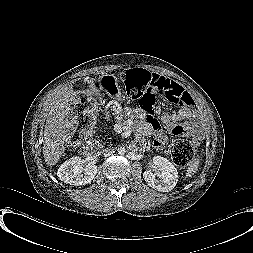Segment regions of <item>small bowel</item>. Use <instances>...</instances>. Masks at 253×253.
Returning a JSON list of instances; mask_svg holds the SVG:
<instances>
[{"label": "small bowel", "mask_w": 253, "mask_h": 253, "mask_svg": "<svg viewBox=\"0 0 253 253\" xmlns=\"http://www.w3.org/2000/svg\"><path fill=\"white\" fill-rule=\"evenodd\" d=\"M178 87L181 90L182 97L187 100V105L179 108L176 112H163L159 119H154L137 108L129 109L124 113L126 119H136L138 131L142 135H151L157 147L164 146L166 142V137L161 130L162 126L174 135H181L184 132H191V127L181 124V121L186 119H190L191 121L197 120V112L192 106L191 97L180 85Z\"/></svg>", "instance_id": "small-bowel-1"}]
</instances>
